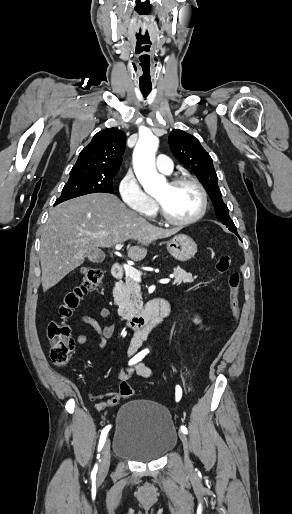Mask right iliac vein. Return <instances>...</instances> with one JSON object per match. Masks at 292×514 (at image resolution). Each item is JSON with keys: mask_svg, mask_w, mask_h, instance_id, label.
<instances>
[{"mask_svg": "<svg viewBox=\"0 0 292 514\" xmlns=\"http://www.w3.org/2000/svg\"><path fill=\"white\" fill-rule=\"evenodd\" d=\"M110 448H111L110 440L108 439L102 450V456L100 459V466H99V471H98L99 478L105 477L109 470L110 459H111V449Z\"/></svg>", "mask_w": 292, "mask_h": 514, "instance_id": "63e3f726", "label": "right iliac vein"}]
</instances>
